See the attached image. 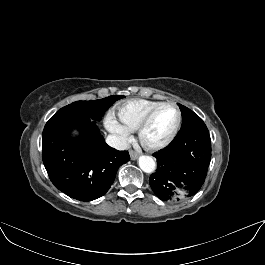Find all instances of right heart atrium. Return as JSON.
<instances>
[{
    "label": "right heart atrium",
    "mask_w": 265,
    "mask_h": 265,
    "mask_svg": "<svg viewBox=\"0 0 265 265\" xmlns=\"http://www.w3.org/2000/svg\"><path fill=\"white\" fill-rule=\"evenodd\" d=\"M105 125L109 131L117 135L122 143H125L129 138V131L123 127L113 115L108 114L105 118Z\"/></svg>",
    "instance_id": "obj_1"
}]
</instances>
